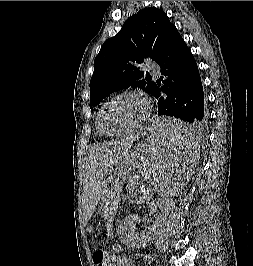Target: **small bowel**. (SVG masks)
Returning <instances> with one entry per match:
<instances>
[{
    "label": "small bowel",
    "mask_w": 253,
    "mask_h": 266,
    "mask_svg": "<svg viewBox=\"0 0 253 266\" xmlns=\"http://www.w3.org/2000/svg\"><path fill=\"white\" fill-rule=\"evenodd\" d=\"M116 250L120 252L121 248L116 247ZM144 261H145L146 266L153 265V258L150 255H145ZM119 266H134V265L128 259L121 257L119 258Z\"/></svg>",
    "instance_id": "small-bowel-1"
}]
</instances>
